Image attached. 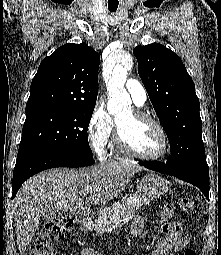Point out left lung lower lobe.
I'll return each mask as SVG.
<instances>
[{
    "label": "left lung lower lobe",
    "mask_w": 221,
    "mask_h": 255,
    "mask_svg": "<svg viewBox=\"0 0 221 255\" xmlns=\"http://www.w3.org/2000/svg\"><path fill=\"white\" fill-rule=\"evenodd\" d=\"M139 164L148 169L167 175H173L183 181L189 182L197 186L206 198L209 199V170L206 161L178 169L171 168L167 165V163L165 164L161 162H141Z\"/></svg>",
    "instance_id": "0a47b994"
}]
</instances>
